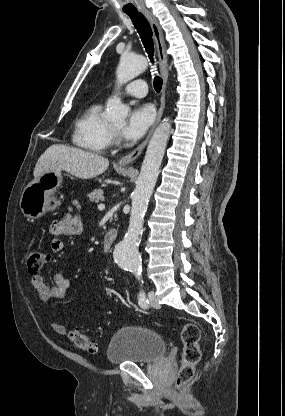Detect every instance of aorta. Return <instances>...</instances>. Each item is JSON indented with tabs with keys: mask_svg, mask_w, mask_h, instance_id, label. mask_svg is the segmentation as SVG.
<instances>
[{
	"mask_svg": "<svg viewBox=\"0 0 285 416\" xmlns=\"http://www.w3.org/2000/svg\"><path fill=\"white\" fill-rule=\"evenodd\" d=\"M148 67L145 57L140 55H123L120 59L116 75L117 90L125 83L140 75ZM129 108L122 104L117 95L107 102L105 118L115 123H123ZM171 125L164 120L154 131L148 144L136 188L132 195V208L129 227L125 237L114 249V258L120 268L129 270L135 276L142 272L141 256L138 245L142 234L143 218L149 199L157 182L159 168L170 136Z\"/></svg>",
	"mask_w": 285,
	"mask_h": 416,
	"instance_id": "obj_1",
	"label": "aorta"
}]
</instances>
